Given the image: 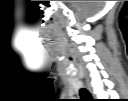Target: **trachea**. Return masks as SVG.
Returning a JSON list of instances; mask_svg holds the SVG:
<instances>
[{"label":"trachea","instance_id":"3493384b","mask_svg":"<svg viewBox=\"0 0 128 101\" xmlns=\"http://www.w3.org/2000/svg\"><path fill=\"white\" fill-rule=\"evenodd\" d=\"M80 97L81 101H91L92 99L90 93L84 88L80 89Z\"/></svg>","mask_w":128,"mask_h":101}]
</instances>
